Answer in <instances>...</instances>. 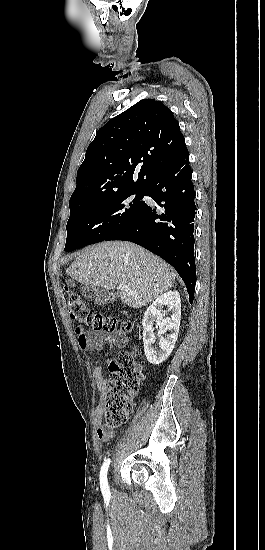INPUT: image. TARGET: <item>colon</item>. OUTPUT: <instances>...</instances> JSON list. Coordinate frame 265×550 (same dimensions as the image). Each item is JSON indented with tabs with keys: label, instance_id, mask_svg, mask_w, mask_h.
Masks as SVG:
<instances>
[{
	"label": "colon",
	"instance_id": "1",
	"mask_svg": "<svg viewBox=\"0 0 265 550\" xmlns=\"http://www.w3.org/2000/svg\"><path fill=\"white\" fill-rule=\"evenodd\" d=\"M68 309L73 320L95 331L128 332L132 323L89 309L74 292L68 293ZM109 378L103 397V416L107 428H118L133 409V397L142 379L141 366L132 351L121 350L109 364Z\"/></svg>",
	"mask_w": 265,
	"mask_h": 550
}]
</instances>
